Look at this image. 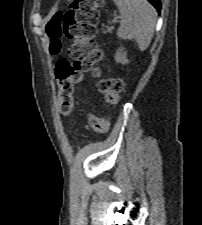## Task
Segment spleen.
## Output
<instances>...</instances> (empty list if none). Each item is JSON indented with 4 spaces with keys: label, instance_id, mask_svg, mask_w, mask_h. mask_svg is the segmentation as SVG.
I'll list each match as a JSON object with an SVG mask.
<instances>
[{
    "label": "spleen",
    "instance_id": "3e777b00",
    "mask_svg": "<svg viewBox=\"0 0 202 225\" xmlns=\"http://www.w3.org/2000/svg\"><path fill=\"white\" fill-rule=\"evenodd\" d=\"M122 16L117 36L135 40L141 51L150 44L156 25V10L147 0H113Z\"/></svg>",
    "mask_w": 202,
    "mask_h": 225
}]
</instances>
